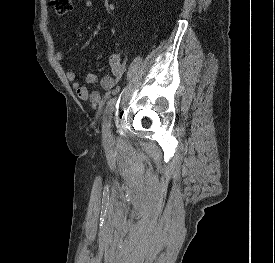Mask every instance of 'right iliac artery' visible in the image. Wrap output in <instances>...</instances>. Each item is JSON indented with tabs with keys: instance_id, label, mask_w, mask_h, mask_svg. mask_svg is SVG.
Wrapping results in <instances>:
<instances>
[{
	"instance_id": "right-iliac-artery-1",
	"label": "right iliac artery",
	"mask_w": 275,
	"mask_h": 263,
	"mask_svg": "<svg viewBox=\"0 0 275 263\" xmlns=\"http://www.w3.org/2000/svg\"><path fill=\"white\" fill-rule=\"evenodd\" d=\"M141 61H142L141 58L137 57L131 63L129 70L127 72L128 79H130L134 75V73L137 71V69L139 68V66L141 64ZM115 103H116V97L110 99V101H108V103L106 105L105 112H104V120H103V135L109 129L112 112L114 110Z\"/></svg>"
}]
</instances>
